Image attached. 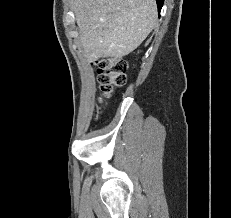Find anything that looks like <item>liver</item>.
I'll return each instance as SVG.
<instances>
[{
	"label": "liver",
	"instance_id": "liver-1",
	"mask_svg": "<svg viewBox=\"0 0 231 218\" xmlns=\"http://www.w3.org/2000/svg\"><path fill=\"white\" fill-rule=\"evenodd\" d=\"M72 9L88 60L128 55L157 19L155 0H73Z\"/></svg>",
	"mask_w": 231,
	"mask_h": 218
}]
</instances>
